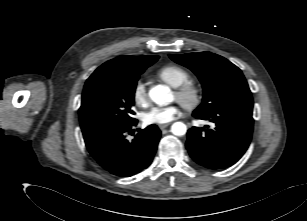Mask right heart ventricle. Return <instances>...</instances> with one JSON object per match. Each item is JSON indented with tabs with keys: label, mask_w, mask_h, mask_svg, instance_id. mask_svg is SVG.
I'll list each match as a JSON object with an SVG mask.
<instances>
[{
	"label": "right heart ventricle",
	"mask_w": 307,
	"mask_h": 221,
	"mask_svg": "<svg viewBox=\"0 0 307 221\" xmlns=\"http://www.w3.org/2000/svg\"><path fill=\"white\" fill-rule=\"evenodd\" d=\"M156 76L172 87H177L190 78L189 72L174 64H167L156 71Z\"/></svg>",
	"instance_id": "right-heart-ventricle-1"
}]
</instances>
